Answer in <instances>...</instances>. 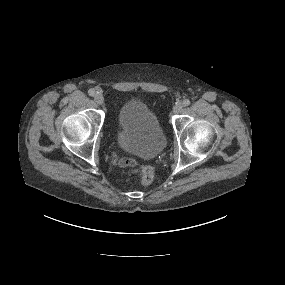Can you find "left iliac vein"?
<instances>
[{
	"label": "left iliac vein",
	"instance_id": "left-iliac-vein-1",
	"mask_svg": "<svg viewBox=\"0 0 285 285\" xmlns=\"http://www.w3.org/2000/svg\"><path fill=\"white\" fill-rule=\"evenodd\" d=\"M182 108H183L182 103H177V104H175V106L173 107V112H174L175 114H177V113L181 112Z\"/></svg>",
	"mask_w": 285,
	"mask_h": 285
}]
</instances>
